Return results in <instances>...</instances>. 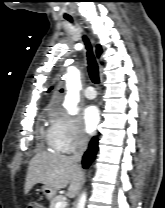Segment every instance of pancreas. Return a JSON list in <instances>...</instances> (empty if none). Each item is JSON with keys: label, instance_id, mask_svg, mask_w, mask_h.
Here are the masks:
<instances>
[{"label": "pancreas", "instance_id": "pancreas-1", "mask_svg": "<svg viewBox=\"0 0 165 208\" xmlns=\"http://www.w3.org/2000/svg\"><path fill=\"white\" fill-rule=\"evenodd\" d=\"M63 200V196H55L53 199H51L49 208H55L56 203L61 202Z\"/></svg>", "mask_w": 165, "mask_h": 208}]
</instances>
